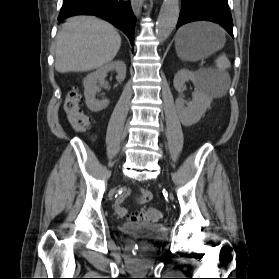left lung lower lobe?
Here are the masks:
<instances>
[{"mask_svg": "<svg viewBox=\"0 0 279 279\" xmlns=\"http://www.w3.org/2000/svg\"><path fill=\"white\" fill-rule=\"evenodd\" d=\"M201 20L220 24L233 37V23L228 0H181L177 28L183 24Z\"/></svg>", "mask_w": 279, "mask_h": 279, "instance_id": "0a47b994", "label": "left lung lower lobe"}]
</instances>
